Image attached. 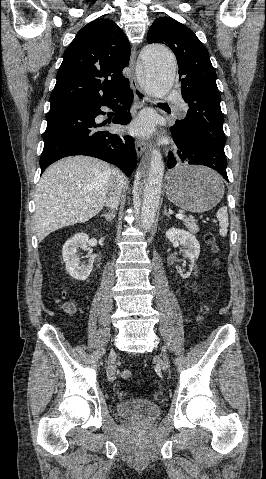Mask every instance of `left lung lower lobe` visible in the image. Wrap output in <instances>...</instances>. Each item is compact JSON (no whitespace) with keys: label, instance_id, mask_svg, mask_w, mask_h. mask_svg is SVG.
Instances as JSON below:
<instances>
[{"label":"left lung lower lobe","instance_id":"1","mask_svg":"<svg viewBox=\"0 0 266 479\" xmlns=\"http://www.w3.org/2000/svg\"><path fill=\"white\" fill-rule=\"evenodd\" d=\"M175 143L177 144L178 150L174 154L169 152L168 154V168H173L177 161H182L188 164H199L208 166L216 171H218L227 181L228 176L226 173L227 160H214L210 163H206L201 160V158L193 151L189 146L183 134L173 126L170 128Z\"/></svg>","mask_w":266,"mask_h":479}]
</instances>
